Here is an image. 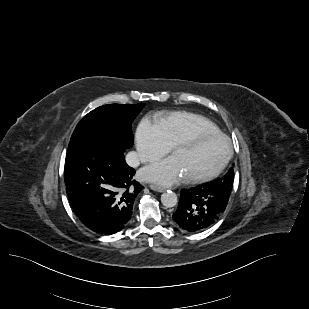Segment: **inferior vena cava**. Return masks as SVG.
<instances>
[{"label":"inferior vena cava","mask_w":309,"mask_h":309,"mask_svg":"<svg viewBox=\"0 0 309 309\" xmlns=\"http://www.w3.org/2000/svg\"><path fill=\"white\" fill-rule=\"evenodd\" d=\"M140 160H145V157L139 155L136 152H130L126 155V162L131 167H137L140 163Z\"/></svg>","instance_id":"602c4592"}]
</instances>
